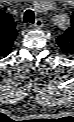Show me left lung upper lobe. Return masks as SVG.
Instances as JSON below:
<instances>
[{"instance_id":"obj_1","label":"left lung upper lobe","mask_w":74,"mask_h":122,"mask_svg":"<svg viewBox=\"0 0 74 122\" xmlns=\"http://www.w3.org/2000/svg\"><path fill=\"white\" fill-rule=\"evenodd\" d=\"M56 41L63 52L74 54V12L72 13L71 26Z\"/></svg>"}]
</instances>
